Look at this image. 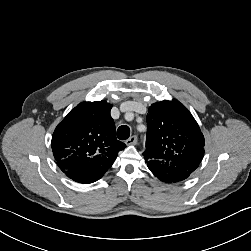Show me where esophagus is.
Here are the masks:
<instances>
[{
	"mask_svg": "<svg viewBox=\"0 0 251 251\" xmlns=\"http://www.w3.org/2000/svg\"><path fill=\"white\" fill-rule=\"evenodd\" d=\"M137 143V136L133 135L125 141L126 145H135Z\"/></svg>",
	"mask_w": 251,
	"mask_h": 251,
	"instance_id": "obj_1",
	"label": "esophagus"
}]
</instances>
